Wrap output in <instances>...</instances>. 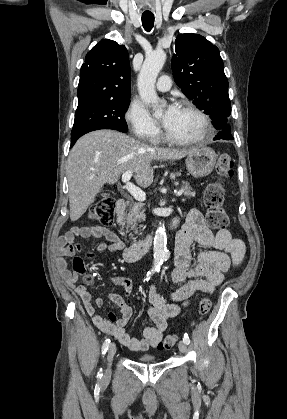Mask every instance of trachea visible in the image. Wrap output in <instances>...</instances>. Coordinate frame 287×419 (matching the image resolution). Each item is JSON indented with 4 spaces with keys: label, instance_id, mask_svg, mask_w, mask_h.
I'll return each mask as SVG.
<instances>
[{
    "label": "trachea",
    "instance_id": "obj_1",
    "mask_svg": "<svg viewBox=\"0 0 287 419\" xmlns=\"http://www.w3.org/2000/svg\"><path fill=\"white\" fill-rule=\"evenodd\" d=\"M142 25L144 29L149 32L154 26V15L153 14H143L142 15Z\"/></svg>",
    "mask_w": 287,
    "mask_h": 419
}]
</instances>
